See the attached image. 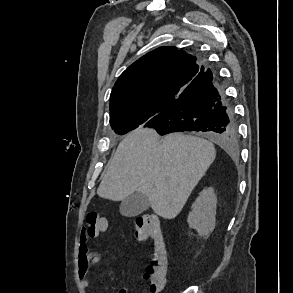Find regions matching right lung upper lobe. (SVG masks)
Returning a JSON list of instances; mask_svg holds the SVG:
<instances>
[{
    "instance_id": "right-lung-upper-lobe-1",
    "label": "right lung upper lobe",
    "mask_w": 293,
    "mask_h": 293,
    "mask_svg": "<svg viewBox=\"0 0 293 293\" xmlns=\"http://www.w3.org/2000/svg\"><path fill=\"white\" fill-rule=\"evenodd\" d=\"M204 70L201 59L175 47H159L121 74L110 95V117L140 109L153 110L155 117Z\"/></svg>"
}]
</instances>
